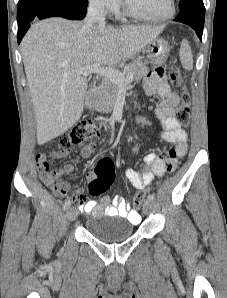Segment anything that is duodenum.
I'll use <instances>...</instances> for the list:
<instances>
[{"mask_svg": "<svg viewBox=\"0 0 227 298\" xmlns=\"http://www.w3.org/2000/svg\"><path fill=\"white\" fill-rule=\"evenodd\" d=\"M98 97V91L96 89L90 90L86 96V106L89 109L95 108L98 103Z\"/></svg>", "mask_w": 227, "mask_h": 298, "instance_id": "410a0bca", "label": "duodenum"}]
</instances>
